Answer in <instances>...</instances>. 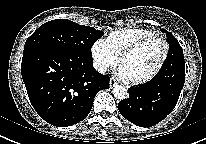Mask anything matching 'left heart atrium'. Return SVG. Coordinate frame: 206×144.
Returning a JSON list of instances; mask_svg holds the SVG:
<instances>
[{
  "label": "left heart atrium",
  "instance_id": "obj_1",
  "mask_svg": "<svg viewBox=\"0 0 206 144\" xmlns=\"http://www.w3.org/2000/svg\"><path fill=\"white\" fill-rule=\"evenodd\" d=\"M118 75L122 79L130 80V77L124 67L120 66L117 71Z\"/></svg>",
  "mask_w": 206,
  "mask_h": 144
}]
</instances>
